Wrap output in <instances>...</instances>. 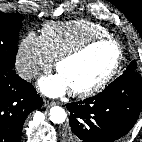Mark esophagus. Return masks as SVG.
Segmentation results:
<instances>
[{"label": "esophagus", "mask_w": 142, "mask_h": 142, "mask_svg": "<svg viewBox=\"0 0 142 142\" xmlns=\"http://www.w3.org/2000/svg\"><path fill=\"white\" fill-rule=\"evenodd\" d=\"M55 102L49 101V100H44V107H51L54 106Z\"/></svg>", "instance_id": "esophagus-1"}]
</instances>
